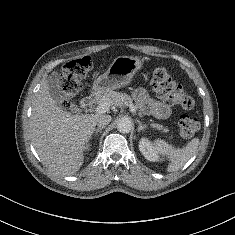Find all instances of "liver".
Wrapping results in <instances>:
<instances>
[{
  "label": "liver",
  "mask_w": 235,
  "mask_h": 235,
  "mask_svg": "<svg viewBox=\"0 0 235 235\" xmlns=\"http://www.w3.org/2000/svg\"><path fill=\"white\" fill-rule=\"evenodd\" d=\"M99 116L64 111L51 96L45 80L34 99L30 119L32 142L44 164L62 175L77 172Z\"/></svg>",
  "instance_id": "6515ba94"
}]
</instances>
